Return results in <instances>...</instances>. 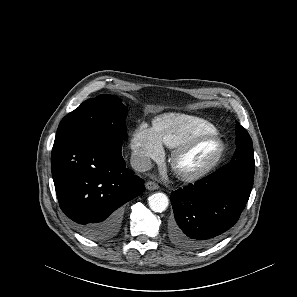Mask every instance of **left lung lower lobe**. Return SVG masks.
I'll return each instance as SVG.
<instances>
[{
  "label": "left lung lower lobe",
  "mask_w": 297,
  "mask_h": 297,
  "mask_svg": "<svg viewBox=\"0 0 297 297\" xmlns=\"http://www.w3.org/2000/svg\"><path fill=\"white\" fill-rule=\"evenodd\" d=\"M255 161L233 160L194 185L171 193L175 222L170 237L177 246L197 250L221 237L238 221L249 199Z\"/></svg>",
  "instance_id": "0a47b994"
}]
</instances>
